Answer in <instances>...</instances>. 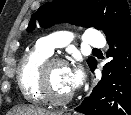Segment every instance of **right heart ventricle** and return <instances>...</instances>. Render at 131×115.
Masks as SVG:
<instances>
[{
	"instance_id": "1",
	"label": "right heart ventricle",
	"mask_w": 131,
	"mask_h": 115,
	"mask_svg": "<svg viewBox=\"0 0 131 115\" xmlns=\"http://www.w3.org/2000/svg\"><path fill=\"white\" fill-rule=\"evenodd\" d=\"M50 56L39 46H35L26 52L17 68V83L25 100L35 104L43 103L40 92L37 89L38 70L40 65Z\"/></svg>"
}]
</instances>
